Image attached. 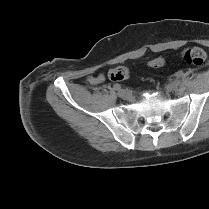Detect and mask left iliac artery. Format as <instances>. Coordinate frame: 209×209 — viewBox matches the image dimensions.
I'll list each match as a JSON object with an SVG mask.
<instances>
[{
  "label": "left iliac artery",
  "instance_id": "obj_1",
  "mask_svg": "<svg viewBox=\"0 0 209 209\" xmlns=\"http://www.w3.org/2000/svg\"><path fill=\"white\" fill-rule=\"evenodd\" d=\"M183 77V72H178L177 73V79H182Z\"/></svg>",
  "mask_w": 209,
  "mask_h": 209
}]
</instances>
